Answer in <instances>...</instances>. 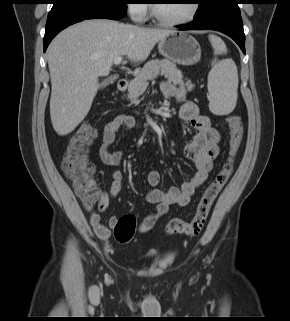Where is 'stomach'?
Here are the masks:
<instances>
[{
    "label": "stomach",
    "mask_w": 290,
    "mask_h": 321,
    "mask_svg": "<svg viewBox=\"0 0 290 321\" xmlns=\"http://www.w3.org/2000/svg\"><path fill=\"white\" fill-rule=\"evenodd\" d=\"M158 50L168 60L190 66L201 58V48L197 40L187 32L173 31L158 42Z\"/></svg>",
    "instance_id": "stomach-1"
}]
</instances>
